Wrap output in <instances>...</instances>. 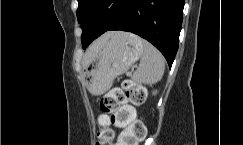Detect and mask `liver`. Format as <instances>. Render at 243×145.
I'll list each match as a JSON object with an SVG mask.
<instances>
[{
    "instance_id": "liver-1",
    "label": "liver",
    "mask_w": 243,
    "mask_h": 145,
    "mask_svg": "<svg viewBox=\"0 0 243 145\" xmlns=\"http://www.w3.org/2000/svg\"><path fill=\"white\" fill-rule=\"evenodd\" d=\"M110 36V33H106L102 37H100L97 41H95L90 48L88 49L85 55V61H88L92 54L99 48V46Z\"/></svg>"
}]
</instances>
